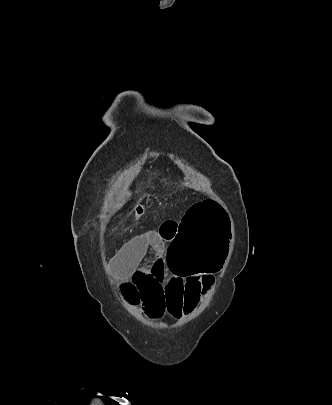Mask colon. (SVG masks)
Segmentation results:
<instances>
[{
    "label": "colon",
    "instance_id": "obj_1",
    "mask_svg": "<svg viewBox=\"0 0 332 405\" xmlns=\"http://www.w3.org/2000/svg\"><path fill=\"white\" fill-rule=\"evenodd\" d=\"M228 212L221 211V202L204 197L191 202L184 211V220H175V240L168 248L169 268L174 275H215L226 267ZM125 297L138 302L140 292L132 284L122 287Z\"/></svg>",
    "mask_w": 332,
    "mask_h": 405
}]
</instances>
